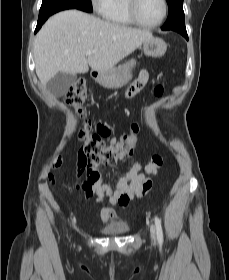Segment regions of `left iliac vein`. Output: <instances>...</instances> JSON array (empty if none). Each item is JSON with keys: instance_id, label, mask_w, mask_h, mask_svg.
<instances>
[{"instance_id": "left-iliac-vein-1", "label": "left iliac vein", "mask_w": 229, "mask_h": 280, "mask_svg": "<svg viewBox=\"0 0 229 280\" xmlns=\"http://www.w3.org/2000/svg\"><path fill=\"white\" fill-rule=\"evenodd\" d=\"M150 231H151L152 239L155 240V227L153 225H151Z\"/></svg>"}]
</instances>
